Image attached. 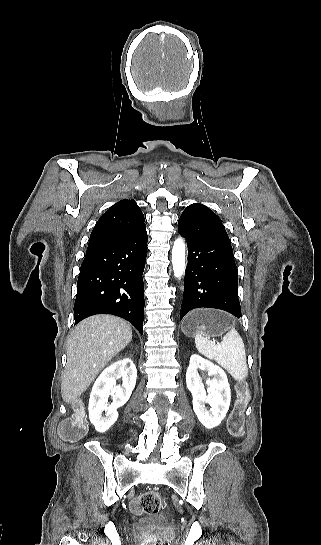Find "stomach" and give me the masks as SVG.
<instances>
[{"label":"stomach","instance_id":"0dacf381","mask_svg":"<svg viewBox=\"0 0 321 545\" xmlns=\"http://www.w3.org/2000/svg\"><path fill=\"white\" fill-rule=\"evenodd\" d=\"M233 325V317L213 311V309H196L186 315L182 321V333L187 337H194L202 333L205 337H220Z\"/></svg>","mask_w":321,"mask_h":545}]
</instances>
